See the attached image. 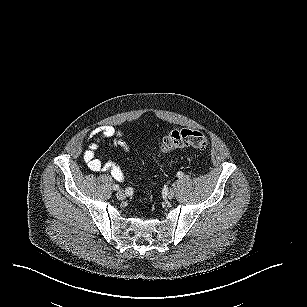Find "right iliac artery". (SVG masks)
<instances>
[{"label": "right iliac artery", "mask_w": 307, "mask_h": 307, "mask_svg": "<svg viewBox=\"0 0 307 307\" xmlns=\"http://www.w3.org/2000/svg\"><path fill=\"white\" fill-rule=\"evenodd\" d=\"M113 189H114V190H118V189H119V186L116 185V184H114V185H113Z\"/></svg>", "instance_id": "82829eb1"}]
</instances>
